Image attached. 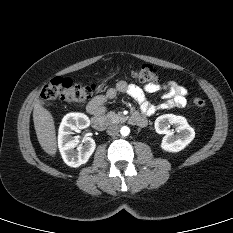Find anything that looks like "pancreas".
Listing matches in <instances>:
<instances>
[{
    "label": "pancreas",
    "instance_id": "1",
    "mask_svg": "<svg viewBox=\"0 0 233 233\" xmlns=\"http://www.w3.org/2000/svg\"><path fill=\"white\" fill-rule=\"evenodd\" d=\"M107 117L111 118V120L115 121V122H120L123 120L122 115L120 114H115L114 112L110 111L107 114Z\"/></svg>",
    "mask_w": 233,
    "mask_h": 233
}]
</instances>
